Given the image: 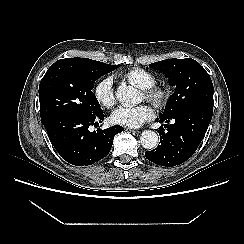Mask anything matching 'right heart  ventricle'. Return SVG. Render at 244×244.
Instances as JSON below:
<instances>
[{"instance_id":"e07e8e85","label":"right heart ventricle","mask_w":244,"mask_h":244,"mask_svg":"<svg viewBox=\"0 0 244 244\" xmlns=\"http://www.w3.org/2000/svg\"><path fill=\"white\" fill-rule=\"evenodd\" d=\"M123 77L131 84L145 90L156 83V77L149 71L141 68H133L126 71Z\"/></svg>"}]
</instances>
